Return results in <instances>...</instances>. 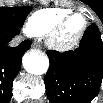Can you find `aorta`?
Wrapping results in <instances>:
<instances>
[{
  "instance_id": "762f6f07",
  "label": "aorta",
  "mask_w": 103,
  "mask_h": 103,
  "mask_svg": "<svg viewBox=\"0 0 103 103\" xmlns=\"http://www.w3.org/2000/svg\"><path fill=\"white\" fill-rule=\"evenodd\" d=\"M25 70L34 75H42L46 73L49 68L48 57L36 52H29L23 56L22 59Z\"/></svg>"
}]
</instances>
